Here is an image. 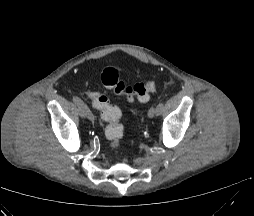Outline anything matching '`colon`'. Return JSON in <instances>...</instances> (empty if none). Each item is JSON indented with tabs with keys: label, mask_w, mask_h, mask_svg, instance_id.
Here are the masks:
<instances>
[{
	"label": "colon",
	"mask_w": 254,
	"mask_h": 216,
	"mask_svg": "<svg viewBox=\"0 0 254 216\" xmlns=\"http://www.w3.org/2000/svg\"><path fill=\"white\" fill-rule=\"evenodd\" d=\"M101 82L107 89L112 90L116 95L126 98L128 102L135 100L146 102L150 95L155 91V82L153 78L144 81L126 85L121 79L119 71L115 67H107L101 73ZM95 106L101 111V118L107 125L105 135L110 141L112 149L119 148L124 134V128L120 123L121 111L111 104L108 97L99 92H91Z\"/></svg>",
	"instance_id": "colon-1"
}]
</instances>
